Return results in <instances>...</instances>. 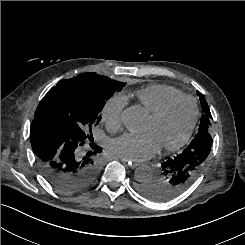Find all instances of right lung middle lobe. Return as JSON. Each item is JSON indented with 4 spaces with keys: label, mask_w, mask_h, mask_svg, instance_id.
<instances>
[{
    "label": "right lung middle lobe",
    "mask_w": 245,
    "mask_h": 245,
    "mask_svg": "<svg viewBox=\"0 0 245 245\" xmlns=\"http://www.w3.org/2000/svg\"><path fill=\"white\" fill-rule=\"evenodd\" d=\"M124 86V82L96 73L80 74L51 88L39 103L37 114L60 126L75 141L84 142L101 120L106 101Z\"/></svg>",
    "instance_id": "dd1d6c3e"
}]
</instances>
